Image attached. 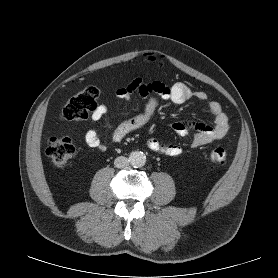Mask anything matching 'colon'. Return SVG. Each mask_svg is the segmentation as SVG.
Segmentation results:
<instances>
[{
    "label": "colon",
    "mask_w": 278,
    "mask_h": 278,
    "mask_svg": "<svg viewBox=\"0 0 278 278\" xmlns=\"http://www.w3.org/2000/svg\"><path fill=\"white\" fill-rule=\"evenodd\" d=\"M100 90L96 85L86 87L82 92L71 98L62 108L60 117L64 121H80L88 118L97 107ZM75 147L67 137L51 138L46 147L47 157L58 167H63L73 157ZM208 159L215 165H225L228 157L221 147L213 148Z\"/></svg>",
    "instance_id": "5ec220e1"
}]
</instances>
